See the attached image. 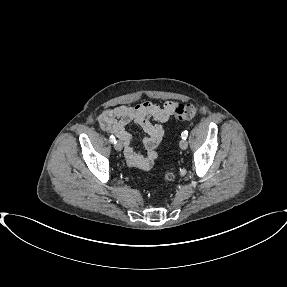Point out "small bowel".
I'll return each instance as SVG.
<instances>
[{"label":"small bowel","instance_id":"small-bowel-1","mask_svg":"<svg viewBox=\"0 0 287 287\" xmlns=\"http://www.w3.org/2000/svg\"><path fill=\"white\" fill-rule=\"evenodd\" d=\"M177 102L166 101L163 104L143 102L136 106L120 105L115 108L103 110L98 122L103 130L115 134L124 144L127 163L140 170H150L155 163L156 147L161 142L166 123L174 114ZM151 119L157 121L152 123ZM134 122L146 133L143 144L147 150V156L135 151L132 137L126 126Z\"/></svg>","mask_w":287,"mask_h":287}]
</instances>
